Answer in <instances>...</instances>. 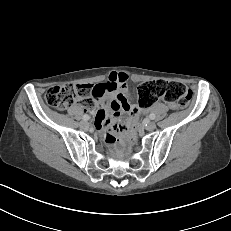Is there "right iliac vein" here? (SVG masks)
I'll use <instances>...</instances> for the list:
<instances>
[{
  "label": "right iliac vein",
  "mask_w": 231,
  "mask_h": 231,
  "mask_svg": "<svg viewBox=\"0 0 231 231\" xmlns=\"http://www.w3.org/2000/svg\"><path fill=\"white\" fill-rule=\"evenodd\" d=\"M80 127L82 129H87L89 127V123L87 121L80 122Z\"/></svg>",
  "instance_id": "obj_1"
}]
</instances>
